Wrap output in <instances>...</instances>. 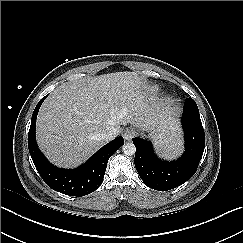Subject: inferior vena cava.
<instances>
[{"label":"inferior vena cava","instance_id":"inferior-vena-cava-1","mask_svg":"<svg viewBox=\"0 0 243 243\" xmlns=\"http://www.w3.org/2000/svg\"><path fill=\"white\" fill-rule=\"evenodd\" d=\"M117 130L115 128H111L107 133L101 135V138L105 141L113 140L117 136Z\"/></svg>","mask_w":243,"mask_h":243}]
</instances>
